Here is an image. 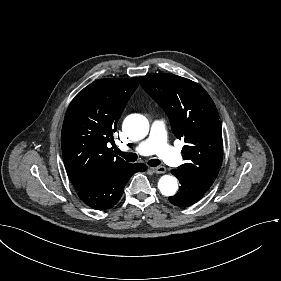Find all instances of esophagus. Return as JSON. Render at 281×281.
Listing matches in <instances>:
<instances>
[{
    "mask_svg": "<svg viewBox=\"0 0 281 281\" xmlns=\"http://www.w3.org/2000/svg\"><path fill=\"white\" fill-rule=\"evenodd\" d=\"M152 171L156 174H163L166 172V168L164 166H157L152 168Z\"/></svg>",
    "mask_w": 281,
    "mask_h": 281,
    "instance_id": "34e87169",
    "label": "esophagus"
}]
</instances>
